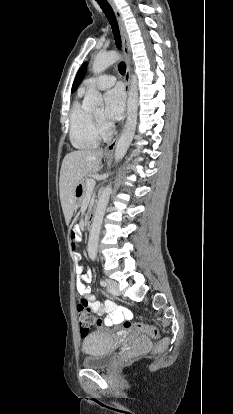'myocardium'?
<instances>
[{"label":"myocardium","instance_id":"1","mask_svg":"<svg viewBox=\"0 0 233 414\" xmlns=\"http://www.w3.org/2000/svg\"><path fill=\"white\" fill-rule=\"evenodd\" d=\"M93 124L96 130L100 133H108L110 131V126L105 122L97 118L94 114H92Z\"/></svg>","mask_w":233,"mask_h":414}]
</instances>
